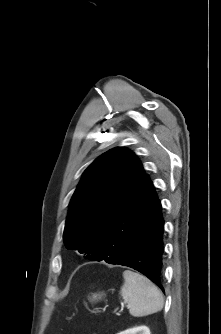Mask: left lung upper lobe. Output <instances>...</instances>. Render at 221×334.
<instances>
[{"mask_svg":"<svg viewBox=\"0 0 221 334\" xmlns=\"http://www.w3.org/2000/svg\"><path fill=\"white\" fill-rule=\"evenodd\" d=\"M144 177L139 159L126 148L99 156L84 171L70 201L63 234L67 249L93 261L108 226Z\"/></svg>","mask_w":221,"mask_h":334,"instance_id":"obj_1","label":"left lung upper lobe"}]
</instances>
